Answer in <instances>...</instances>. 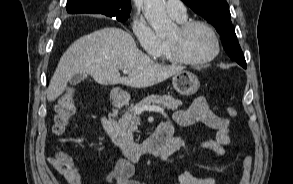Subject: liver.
<instances>
[{"label":"liver","instance_id":"obj_1","mask_svg":"<svg viewBox=\"0 0 293 184\" xmlns=\"http://www.w3.org/2000/svg\"><path fill=\"white\" fill-rule=\"evenodd\" d=\"M130 71L121 77L119 71ZM177 65H160L140 51L132 36L117 27H106L80 37L60 58L47 88V100L55 101L74 74L91 75L101 85L123 84L145 88L181 72Z\"/></svg>","mask_w":293,"mask_h":184}]
</instances>
